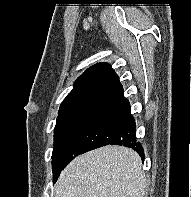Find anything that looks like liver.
<instances>
[{
	"label": "liver",
	"mask_w": 191,
	"mask_h": 197,
	"mask_svg": "<svg viewBox=\"0 0 191 197\" xmlns=\"http://www.w3.org/2000/svg\"><path fill=\"white\" fill-rule=\"evenodd\" d=\"M141 158L123 146H105L76 157L60 174L56 197H144Z\"/></svg>",
	"instance_id": "obj_1"
}]
</instances>
